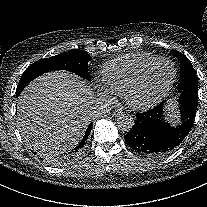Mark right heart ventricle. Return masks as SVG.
I'll list each match as a JSON object with an SVG mask.
<instances>
[{
	"instance_id": "e07e8e85",
	"label": "right heart ventricle",
	"mask_w": 207,
	"mask_h": 207,
	"mask_svg": "<svg viewBox=\"0 0 207 207\" xmlns=\"http://www.w3.org/2000/svg\"><path fill=\"white\" fill-rule=\"evenodd\" d=\"M158 58L154 54L138 53L123 56L106 64L102 70V79L110 97H125L143 69Z\"/></svg>"
}]
</instances>
